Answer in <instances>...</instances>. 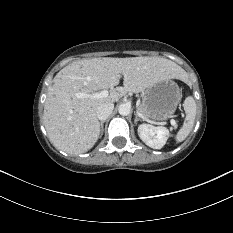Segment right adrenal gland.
Here are the masks:
<instances>
[{
	"mask_svg": "<svg viewBox=\"0 0 233 233\" xmlns=\"http://www.w3.org/2000/svg\"><path fill=\"white\" fill-rule=\"evenodd\" d=\"M104 123H105V120L100 122V136H102V135H103Z\"/></svg>",
	"mask_w": 233,
	"mask_h": 233,
	"instance_id": "2a0ac1e0",
	"label": "right adrenal gland"
}]
</instances>
